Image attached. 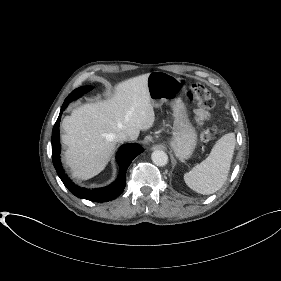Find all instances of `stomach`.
I'll list each match as a JSON object with an SVG mask.
<instances>
[{"instance_id":"1","label":"stomach","mask_w":281,"mask_h":281,"mask_svg":"<svg viewBox=\"0 0 281 281\" xmlns=\"http://www.w3.org/2000/svg\"><path fill=\"white\" fill-rule=\"evenodd\" d=\"M147 85L154 107L167 103L172 109L173 131L169 140L170 148L181 161L189 159L197 145V133L178 94L182 86L180 79L166 72L154 71L149 73Z\"/></svg>"}]
</instances>
